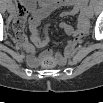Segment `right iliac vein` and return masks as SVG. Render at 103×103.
Here are the masks:
<instances>
[{
  "instance_id": "63e3f726",
  "label": "right iliac vein",
  "mask_w": 103,
  "mask_h": 103,
  "mask_svg": "<svg viewBox=\"0 0 103 103\" xmlns=\"http://www.w3.org/2000/svg\"><path fill=\"white\" fill-rule=\"evenodd\" d=\"M8 12H9V13H12V12H13V11H12V8L8 7Z\"/></svg>"
}]
</instances>
